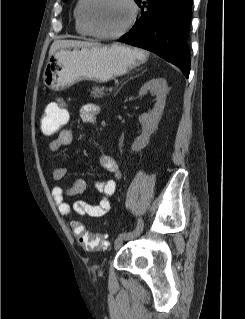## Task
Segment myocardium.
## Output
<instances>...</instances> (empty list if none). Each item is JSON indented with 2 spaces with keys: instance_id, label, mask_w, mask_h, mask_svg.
<instances>
[{
  "instance_id": "myocardium-1",
  "label": "myocardium",
  "mask_w": 245,
  "mask_h": 319,
  "mask_svg": "<svg viewBox=\"0 0 245 319\" xmlns=\"http://www.w3.org/2000/svg\"><path fill=\"white\" fill-rule=\"evenodd\" d=\"M93 0H85L83 7H82V20L88 31L90 32L91 35L100 38V39H105V40H112V39H117L126 34L132 26L135 24L138 14H139V8L135 0H126L128 3L130 9H131V16L128 20V22L118 31L113 32V33H103L95 29V27L92 25V23L89 20V7Z\"/></svg>"
}]
</instances>
